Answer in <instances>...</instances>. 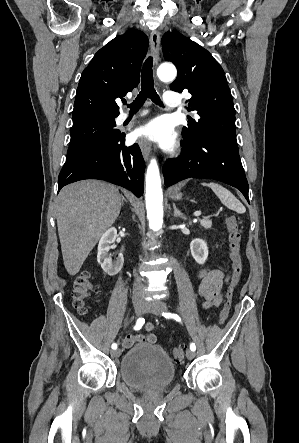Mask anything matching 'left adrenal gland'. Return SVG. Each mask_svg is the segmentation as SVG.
Segmentation results:
<instances>
[{
  "label": "left adrenal gland",
  "instance_id": "a2214340",
  "mask_svg": "<svg viewBox=\"0 0 299 443\" xmlns=\"http://www.w3.org/2000/svg\"><path fill=\"white\" fill-rule=\"evenodd\" d=\"M173 210H174V217H180L182 219H186V217L184 216V214L178 210V208L176 207V205L173 203Z\"/></svg>",
  "mask_w": 299,
  "mask_h": 443
}]
</instances>
